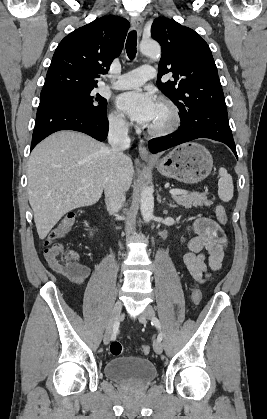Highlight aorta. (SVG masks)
Here are the masks:
<instances>
[{
    "label": "aorta",
    "instance_id": "obj_1",
    "mask_svg": "<svg viewBox=\"0 0 267 419\" xmlns=\"http://www.w3.org/2000/svg\"><path fill=\"white\" fill-rule=\"evenodd\" d=\"M140 51L153 60H158L161 56L160 45L155 41L142 42ZM140 210L143 220L148 223L153 218L154 197L153 191L147 186H144L141 191Z\"/></svg>",
    "mask_w": 267,
    "mask_h": 419
}]
</instances>
